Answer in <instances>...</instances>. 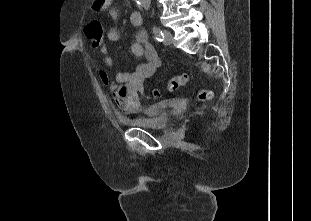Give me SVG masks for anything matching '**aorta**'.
<instances>
[{
	"label": "aorta",
	"instance_id": "762f6f07",
	"mask_svg": "<svg viewBox=\"0 0 311 221\" xmlns=\"http://www.w3.org/2000/svg\"><path fill=\"white\" fill-rule=\"evenodd\" d=\"M141 6H144L145 10H148L150 8V0H140Z\"/></svg>",
	"mask_w": 311,
	"mask_h": 221
}]
</instances>
